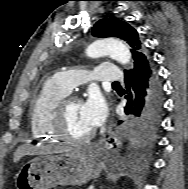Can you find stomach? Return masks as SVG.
I'll use <instances>...</instances> for the list:
<instances>
[{
    "mask_svg": "<svg viewBox=\"0 0 188 189\" xmlns=\"http://www.w3.org/2000/svg\"><path fill=\"white\" fill-rule=\"evenodd\" d=\"M101 164L93 153L43 155L23 165L16 189H50L56 185H82L98 178Z\"/></svg>",
    "mask_w": 188,
    "mask_h": 189,
    "instance_id": "obj_1",
    "label": "stomach"
}]
</instances>
